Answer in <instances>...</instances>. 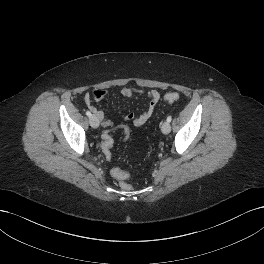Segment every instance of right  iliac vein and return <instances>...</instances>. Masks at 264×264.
Returning a JSON list of instances; mask_svg holds the SVG:
<instances>
[{"label": "right iliac vein", "instance_id": "1", "mask_svg": "<svg viewBox=\"0 0 264 264\" xmlns=\"http://www.w3.org/2000/svg\"><path fill=\"white\" fill-rule=\"evenodd\" d=\"M89 123L93 128H97L99 126V120L94 115L90 116Z\"/></svg>", "mask_w": 264, "mask_h": 264}]
</instances>
